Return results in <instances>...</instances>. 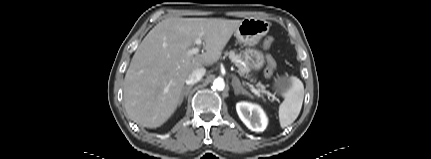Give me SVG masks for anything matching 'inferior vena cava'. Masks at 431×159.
<instances>
[{"label":"inferior vena cava","mask_w":431,"mask_h":159,"mask_svg":"<svg viewBox=\"0 0 431 159\" xmlns=\"http://www.w3.org/2000/svg\"><path fill=\"white\" fill-rule=\"evenodd\" d=\"M205 68H199L194 70L191 74H189L188 78L186 79V84L187 85H193L197 82H199L202 77L205 75Z\"/></svg>","instance_id":"1"}]
</instances>
